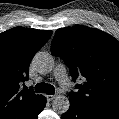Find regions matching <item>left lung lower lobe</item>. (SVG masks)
<instances>
[{
  "instance_id": "1",
  "label": "left lung lower lobe",
  "mask_w": 119,
  "mask_h": 119,
  "mask_svg": "<svg viewBox=\"0 0 119 119\" xmlns=\"http://www.w3.org/2000/svg\"><path fill=\"white\" fill-rule=\"evenodd\" d=\"M62 119H116L93 112L86 107L70 101L69 110L62 114Z\"/></svg>"
}]
</instances>
